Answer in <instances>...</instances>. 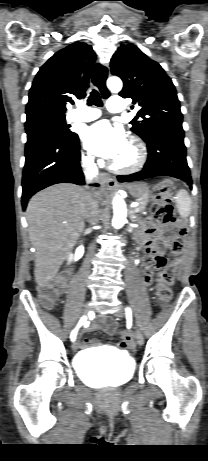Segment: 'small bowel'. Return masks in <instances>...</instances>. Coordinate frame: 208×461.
Segmentation results:
<instances>
[{
    "instance_id": "1",
    "label": "small bowel",
    "mask_w": 208,
    "mask_h": 461,
    "mask_svg": "<svg viewBox=\"0 0 208 461\" xmlns=\"http://www.w3.org/2000/svg\"><path fill=\"white\" fill-rule=\"evenodd\" d=\"M184 235L183 229H178L177 225H156L152 219L145 220L143 230L136 236L137 241L145 248L148 257L145 260V267L142 271V278L145 284H150L153 270L156 269L155 258L163 254V249L171 246L172 242H180ZM74 267L73 265L71 266ZM60 279L66 280L67 275L62 274ZM88 330L103 329L110 334L115 333L114 322L109 319H103L87 326ZM128 334V333H123ZM129 335V334H128ZM130 342V337L128 341ZM121 338L113 337L109 341V346L113 354H122L124 347L121 346ZM100 345L96 338L83 339L79 342L81 348Z\"/></svg>"
}]
</instances>
